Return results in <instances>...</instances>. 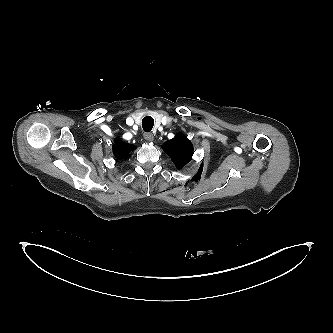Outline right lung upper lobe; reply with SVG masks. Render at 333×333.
I'll return each mask as SVG.
<instances>
[{"mask_svg": "<svg viewBox=\"0 0 333 333\" xmlns=\"http://www.w3.org/2000/svg\"><path fill=\"white\" fill-rule=\"evenodd\" d=\"M134 150L135 147L133 145L125 144L120 140V138H116L115 144L113 145V153L118 160L129 158L130 152Z\"/></svg>", "mask_w": 333, "mask_h": 333, "instance_id": "obj_1", "label": "right lung upper lobe"}]
</instances>
